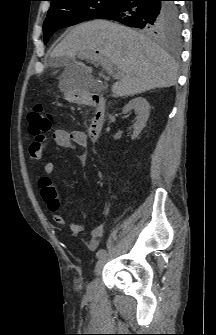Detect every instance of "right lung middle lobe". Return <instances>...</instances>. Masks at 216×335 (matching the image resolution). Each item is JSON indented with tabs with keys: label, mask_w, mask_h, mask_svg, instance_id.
I'll return each mask as SVG.
<instances>
[{
	"label": "right lung middle lobe",
	"mask_w": 216,
	"mask_h": 335,
	"mask_svg": "<svg viewBox=\"0 0 216 335\" xmlns=\"http://www.w3.org/2000/svg\"><path fill=\"white\" fill-rule=\"evenodd\" d=\"M117 2L118 0L51 1V7L43 26L45 44L56 30L75 25L84 20L99 18L111 10ZM147 32L152 35L171 36L177 38L180 34V23H172L170 21V15L168 14L160 30L157 32Z\"/></svg>",
	"instance_id": "right-lung-middle-lobe-1"
}]
</instances>
